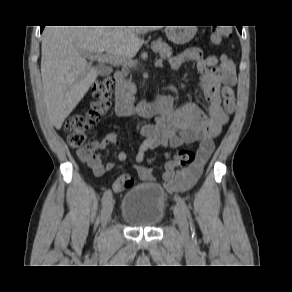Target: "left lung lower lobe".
<instances>
[{"label":"left lung lower lobe","instance_id":"obj_1","mask_svg":"<svg viewBox=\"0 0 292 292\" xmlns=\"http://www.w3.org/2000/svg\"><path fill=\"white\" fill-rule=\"evenodd\" d=\"M237 28H238L239 32L241 33V31H242V27L239 26V27H237Z\"/></svg>","mask_w":292,"mask_h":292}]
</instances>
